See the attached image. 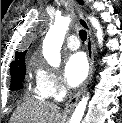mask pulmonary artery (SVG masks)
Here are the masks:
<instances>
[{
    "mask_svg": "<svg viewBox=\"0 0 122 123\" xmlns=\"http://www.w3.org/2000/svg\"><path fill=\"white\" fill-rule=\"evenodd\" d=\"M66 45L71 50H77L80 46V43L76 36H70L66 41Z\"/></svg>",
    "mask_w": 122,
    "mask_h": 123,
    "instance_id": "obj_1",
    "label": "pulmonary artery"
}]
</instances>
